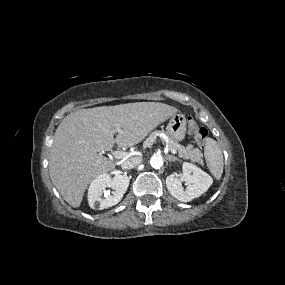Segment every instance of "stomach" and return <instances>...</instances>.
<instances>
[{
	"mask_svg": "<svg viewBox=\"0 0 285 285\" xmlns=\"http://www.w3.org/2000/svg\"><path fill=\"white\" fill-rule=\"evenodd\" d=\"M186 124L187 122L184 115H172L166 127L169 138L175 142L182 141L185 138Z\"/></svg>",
	"mask_w": 285,
	"mask_h": 285,
	"instance_id": "obj_1",
	"label": "stomach"
}]
</instances>
